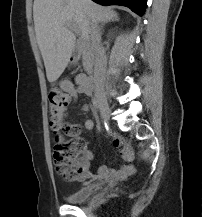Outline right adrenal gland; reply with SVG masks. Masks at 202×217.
I'll return each instance as SVG.
<instances>
[{"mask_svg":"<svg viewBox=\"0 0 202 217\" xmlns=\"http://www.w3.org/2000/svg\"><path fill=\"white\" fill-rule=\"evenodd\" d=\"M119 19L118 18H116V19H114V20H112V21H118ZM108 22H102L101 23V25H100V29L102 30V32H104V26L107 24Z\"/></svg>","mask_w":202,"mask_h":217,"instance_id":"obj_1","label":"right adrenal gland"}]
</instances>
